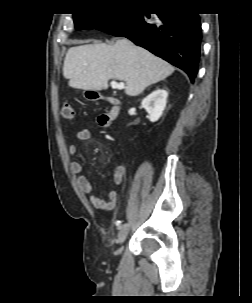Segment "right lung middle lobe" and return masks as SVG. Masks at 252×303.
I'll list each match as a JSON object with an SVG mask.
<instances>
[{
    "label": "right lung middle lobe",
    "mask_w": 252,
    "mask_h": 303,
    "mask_svg": "<svg viewBox=\"0 0 252 303\" xmlns=\"http://www.w3.org/2000/svg\"><path fill=\"white\" fill-rule=\"evenodd\" d=\"M125 13H87L74 14L75 27L82 29H101L102 27L115 23L124 17Z\"/></svg>",
    "instance_id": "dd1d6c3e"
}]
</instances>
